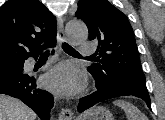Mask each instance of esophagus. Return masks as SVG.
I'll return each instance as SVG.
<instances>
[{"mask_svg":"<svg viewBox=\"0 0 165 120\" xmlns=\"http://www.w3.org/2000/svg\"><path fill=\"white\" fill-rule=\"evenodd\" d=\"M63 18L58 17L57 19V25H58V38H59V44L61 45L62 42L66 41V35L64 32V23ZM73 118V111L68 108L61 109L59 113V120H71Z\"/></svg>","mask_w":165,"mask_h":120,"instance_id":"34e87169","label":"esophagus"}]
</instances>
